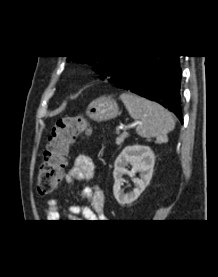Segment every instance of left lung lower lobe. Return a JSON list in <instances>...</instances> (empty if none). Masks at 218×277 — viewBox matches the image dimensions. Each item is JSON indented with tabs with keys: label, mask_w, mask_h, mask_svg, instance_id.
<instances>
[{
	"label": "left lung lower lobe",
	"mask_w": 218,
	"mask_h": 277,
	"mask_svg": "<svg viewBox=\"0 0 218 277\" xmlns=\"http://www.w3.org/2000/svg\"><path fill=\"white\" fill-rule=\"evenodd\" d=\"M179 56L137 55L109 81L172 111L183 123L180 105Z\"/></svg>",
	"instance_id": "obj_1"
}]
</instances>
